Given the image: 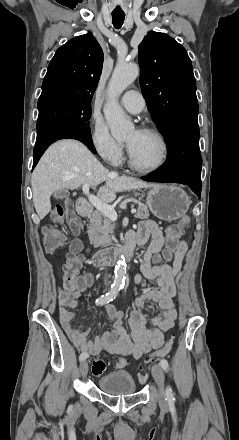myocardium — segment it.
Returning a JSON list of instances; mask_svg holds the SVG:
<instances>
[{
	"label": "myocardium",
	"instance_id": "obj_1",
	"mask_svg": "<svg viewBox=\"0 0 239 440\" xmlns=\"http://www.w3.org/2000/svg\"><path fill=\"white\" fill-rule=\"evenodd\" d=\"M139 131L154 135L155 137L158 138V140L160 141L161 146H162V151H163L162 158L156 166H154L152 168H144V167H141L137 164L130 148L128 147L129 166L134 171L142 173V174L156 173L159 170H161L168 161L169 153H170V147H169L168 140L161 131H159L158 129L153 128V127H143Z\"/></svg>",
	"mask_w": 239,
	"mask_h": 440
}]
</instances>
